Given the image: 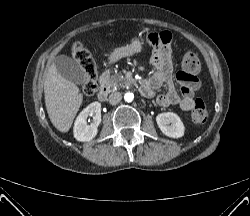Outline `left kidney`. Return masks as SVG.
<instances>
[{
    "label": "left kidney",
    "instance_id": "left-kidney-1",
    "mask_svg": "<svg viewBox=\"0 0 250 216\" xmlns=\"http://www.w3.org/2000/svg\"><path fill=\"white\" fill-rule=\"evenodd\" d=\"M156 122L162 133L168 137L181 138L184 135V124L180 117L173 112L158 114Z\"/></svg>",
    "mask_w": 250,
    "mask_h": 216
}]
</instances>
